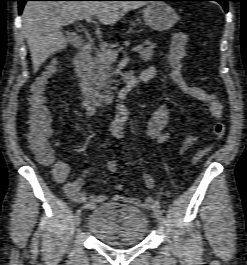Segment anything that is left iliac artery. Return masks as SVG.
Instances as JSON below:
<instances>
[{"label":"left iliac artery","instance_id":"44dca946","mask_svg":"<svg viewBox=\"0 0 247 265\" xmlns=\"http://www.w3.org/2000/svg\"><path fill=\"white\" fill-rule=\"evenodd\" d=\"M153 210L156 214H160L162 215L163 214V210L160 208V204H159V201L157 200L153 206Z\"/></svg>","mask_w":247,"mask_h":265}]
</instances>
